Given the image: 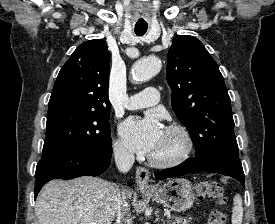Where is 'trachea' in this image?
I'll use <instances>...</instances> for the list:
<instances>
[{
    "label": "trachea",
    "instance_id": "trachea-1",
    "mask_svg": "<svg viewBox=\"0 0 275 224\" xmlns=\"http://www.w3.org/2000/svg\"><path fill=\"white\" fill-rule=\"evenodd\" d=\"M148 26L147 25H136L135 26V34L138 36H142L146 33Z\"/></svg>",
    "mask_w": 275,
    "mask_h": 224
}]
</instances>
